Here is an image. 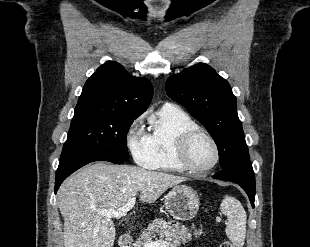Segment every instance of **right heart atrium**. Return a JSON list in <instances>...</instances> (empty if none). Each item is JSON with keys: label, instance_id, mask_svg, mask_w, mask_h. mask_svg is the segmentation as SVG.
<instances>
[{"label": "right heart atrium", "instance_id": "d8ad5b80", "mask_svg": "<svg viewBox=\"0 0 310 247\" xmlns=\"http://www.w3.org/2000/svg\"><path fill=\"white\" fill-rule=\"evenodd\" d=\"M143 116L136 118L126 132V144L134 160L148 168L153 164L148 135L141 131Z\"/></svg>", "mask_w": 310, "mask_h": 247}]
</instances>
